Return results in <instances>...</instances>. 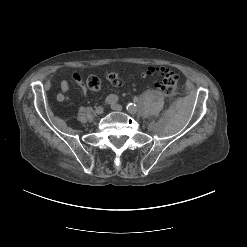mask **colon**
<instances>
[{
    "instance_id": "obj_1",
    "label": "colon",
    "mask_w": 247,
    "mask_h": 247,
    "mask_svg": "<svg viewBox=\"0 0 247 247\" xmlns=\"http://www.w3.org/2000/svg\"><path fill=\"white\" fill-rule=\"evenodd\" d=\"M144 75H160L161 79L156 84L157 88L166 95H172L177 88L179 75L168 67H148L143 71ZM106 79L113 84H120L119 77L115 72L106 74ZM87 86L92 91L100 89V79L97 76H90L87 79Z\"/></svg>"
}]
</instances>
